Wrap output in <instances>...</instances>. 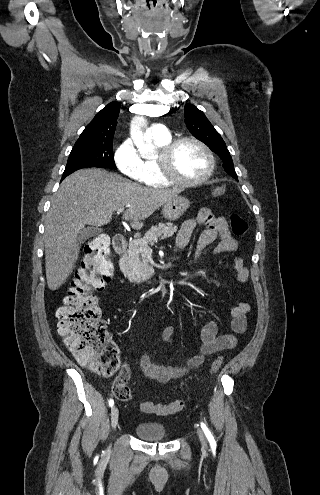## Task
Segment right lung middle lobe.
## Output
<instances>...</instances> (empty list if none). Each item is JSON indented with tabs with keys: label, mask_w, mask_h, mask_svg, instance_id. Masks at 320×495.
Here are the masks:
<instances>
[{
	"label": "right lung middle lobe",
	"mask_w": 320,
	"mask_h": 495,
	"mask_svg": "<svg viewBox=\"0 0 320 495\" xmlns=\"http://www.w3.org/2000/svg\"><path fill=\"white\" fill-rule=\"evenodd\" d=\"M87 167L115 169L112 144L74 145L62 178Z\"/></svg>",
	"instance_id": "1"
}]
</instances>
